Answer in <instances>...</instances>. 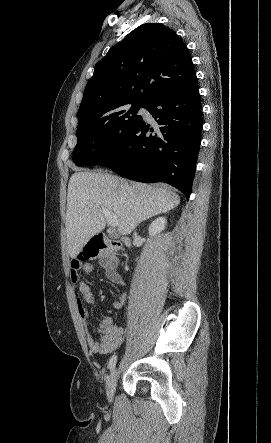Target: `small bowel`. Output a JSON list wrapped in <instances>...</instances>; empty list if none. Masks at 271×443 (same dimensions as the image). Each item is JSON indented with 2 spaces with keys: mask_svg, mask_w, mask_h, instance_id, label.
Wrapping results in <instances>:
<instances>
[{
  "mask_svg": "<svg viewBox=\"0 0 271 443\" xmlns=\"http://www.w3.org/2000/svg\"><path fill=\"white\" fill-rule=\"evenodd\" d=\"M102 266L108 280L122 289L125 283L121 275L116 271L115 264L103 263ZM81 269L84 273L89 274L93 271V265L91 263L82 264L77 259H73L70 264V278L73 284L78 285L79 295L76 300L77 311L80 318L86 324L89 320V313L84 306V302L94 304L95 299L90 287L79 278V271ZM126 298V293H121L118 299L114 301L113 307L116 309L122 308L126 302ZM95 336H98V339H96ZM124 336L125 328L119 326L111 316L106 315L93 332H88L87 342L92 352L109 354L122 344Z\"/></svg>",
  "mask_w": 271,
  "mask_h": 443,
  "instance_id": "c3829d8e",
  "label": "small bowel"
}]
</instances>
